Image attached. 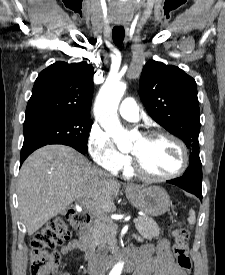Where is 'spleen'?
<instances>
[{
    "label": "spleen",
    "instance_id": "1",
    "mask_svg": "<svg viewBox=\"0 0 225 275\" xmlns=\"http://www.w3.org/2000/svg\"><path fill=\"white\" fill-rule=\"evenodd\" d=\"M195 221H196L195 211L191 209L189 211L188 222L191 226H193L195 224Z\"/></svg>",
    "mask_w": 225,
    "mask_h": 275
}]
</instances>
